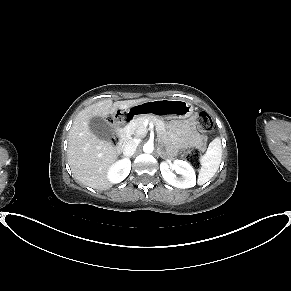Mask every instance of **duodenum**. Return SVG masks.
<instances>
[{
  "mask_svg": "<svg viewBox=\"0 0 291 291\" xmlns=\"http://www.w3.org/2000/svg\"><path fill=\"white\" fill-rule=\"evenodd\" d=\"M142 113L143 112L139 108H133V109L130 110V112L122 120V122L118 126V133H119L120 143L121 144L126 143L128 141V139H129V133L126 130V126L128 124H130L137 115H140Z\"/></svg>",
  "mask_w": 291,
  "mask_h": 291,
  "instance_id": "410a0bca",
  "label": "duodenum"
}]
</instances>
